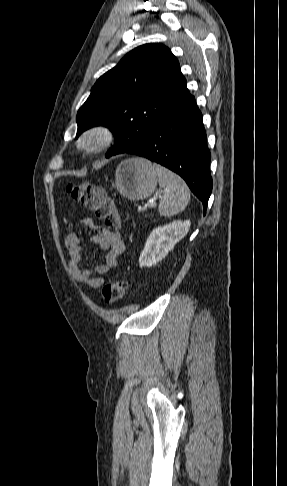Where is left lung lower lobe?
<instances>
[{
  "label": "left lung lower lobe",
  "mask_w": 287,
  "mask_h": 486,
  "mask_svg": "<svg viewBox=\"0 0 287 486\" xmlns=\"http://www.w3.org/2000/svg\"><path fill=\"white\" fill-rule=\"evenodd\" d=\"M127 153L145 157L179 174L206 210L212 191L210 151L202 114L188 89L151 128L143 143Z\"/></svg>",
  "instance_id": "obj_1"
}]
</instances>
